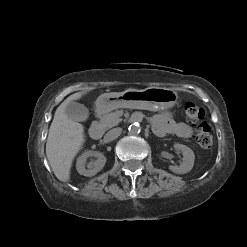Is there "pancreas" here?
<instances>
[{"label": "pancreas", "mask_w": 247, "mask_h": 247, "mask_svg": "<svg viewBox=\"0 0 247 247\" xmlns=\"http://www.w3.org/2000/svg\"><path fill=\"white\" fill-rule=\"evenodd\" d=\"M122 115V111L116 110L114 112L104 114L100 117L99 125L103 130H107L119 124L122 121L120 116Z\"/></svg>", "instance_id": "obj_1"}]
</instances>
